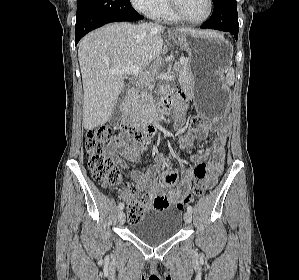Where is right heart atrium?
I'll return each mask as SVG.
<instances>
[{
	"label": "right heart atrium",
	"mask_w": 299,
	"mask_h": 280,
	"mask_svg": "<svg viewBox=\"0 0 299 280\" xmlns=\"http://www.w3.org/2000/svg\"><path fill=\"white\" fill-rule=\"evenodd\" d=\"M130 2L136 10L151 15L160 0H130Z\"/></svg>",
	"instance_id": "right-heart-atrium-1"
}]
</instances>
